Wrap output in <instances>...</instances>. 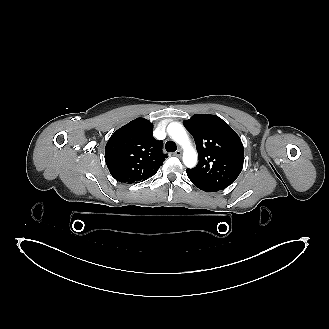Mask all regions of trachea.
Returning <instances> with one entry per match:
<instances>
[{
  "instance_id": "1",
  "label": "trachea",
  "mask_w": 329,
  "mask_h": 329,
  "mask_svg": "<svg viewBox=\"0 0 329 329\" xmlns=\"http://www.w3.org/2000/svg\"><path fill=\"white\" fill-rule=\"evenodd\" d=\"M165 148L168 152H174V151H176L177 146L173 142L167 141Z\"/></svg>"
}]
</instances>
